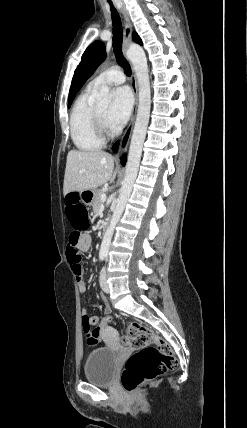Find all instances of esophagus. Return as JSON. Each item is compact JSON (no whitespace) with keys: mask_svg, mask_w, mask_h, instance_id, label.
<instances>
[{"mask_svg":"<svg viewBox=\"0 0 247 428\" xmlns=\"http://www.w3.org/2000/svg\"><path fill=\"white\" fill-rule=\"evenodd\" d=\"M121 13L123 14L124 20H125V24H124V42H123V53L125 54V50L126 47L128 45V43L131 40L132 37V32H133V27L132 24L129 20V17L126 13V11L122 8L121 9ZM131 66V70H132V76H131V86H132V91L135 97V104L133 107V111H132V116L130 119V122L127 126V128L125 129L122 137L120 138L119 141V146H118V150L115 154V160L117 162L120 161V157L126 152L128 145H129V141L131 138V134L133 131V127H134V123H135V118H136V112H137V105H138V89H137V80H136V75H135V71L134 68L132 66V64L130 63Z\"/></svg>","mask_w":247,"mask_h":428,"instance_id":"obj_1","label":"esophagus"}]
</instances>
